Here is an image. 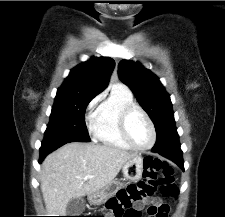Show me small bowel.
Instances as JSON below:
<instances>
[{
	"label": "small bowel",
	"mask_w": 225,
	"mask_h": 217,
	"mask_svg": "<svg viewBox=\"0 0 225 217\" xmlns=\"http://www.w3.org/2000/svg\"><path fill=\"white\" fill-rule=\"evenodd\" d=\"M151 203H152L151 206H155V207H159V206L163 205L159 199H152ZM142 206H143V202H141V201H140V202H137V203L134 205V207H135L138 211L142 208Z\"/></svg>",
	"instance_id": "obj_1"
}]
</instances>
